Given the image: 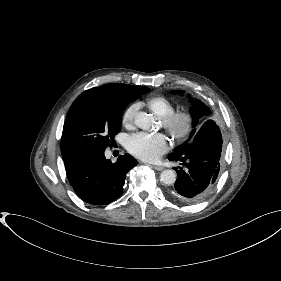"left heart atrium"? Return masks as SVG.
Instances as JSON below:
<instances>
[{
    "instance_id": "obj_1",
    "label": "left heart atrium",
    "mask_w": 281,
    "mask_h": 281,
    "mask_svg": "<svg viewBox=\"0 0 281 281\" xmlns=\"http://www.w3.org/2000/svg\"><path fill=\"white\" fill-rule=\"evenodd\" d=\"M169 148V142L163 134L137 133L128 138L127 149L137 158L155 162Z\"/></svg>"
}]
</instances>
